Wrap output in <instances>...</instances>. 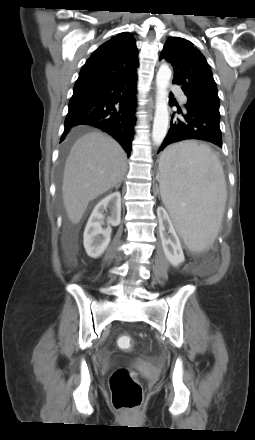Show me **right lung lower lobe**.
<instances>
[{
    "label": "right lung lower lobe",
    "mask_w": 255,
    "mask_h": 440,
    "mask_svg": "<svg viewBox=\"0 0 255 440\" xmlns=\"http://www.w3.org/2000/svg\"><path fill=\"white\" fill-rule=\"evenodd\" d=\"M136 84L134 72L102 86L74 91L61 141L74 126H95L113 136L130 155L136 121Z\"/></svg>",
    "instance_id": "right-lung-lower-lobe-1"
}]
</instances>
